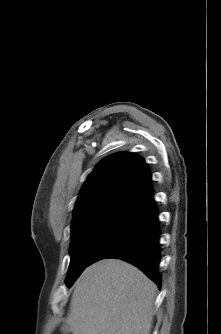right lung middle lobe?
<instances>
[{
  "mask_svg": "<svg viewBox=\"0 0 221 334\" xmlns=\"http://www.w3.org/2000/svg\"><path fill=\"white\" fill-rule=\"evenodd\" d=\"M139 215L100 214L81 221L71 230V261L66 277L72 286L90 264L106 258L122 244L143 222Z\"/></svg>",
  "mask_w": 221,
  "mask_h": 334,
  "instance_id": "right-lung-middle-lobe-1",
  "label": "right lung middle lobe"
}]
</instances>
